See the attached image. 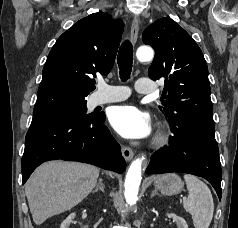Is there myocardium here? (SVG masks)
<instances>
[{
	"label": "myocardium",
	"instance_id": "f54148a6",
	"mask_svg": "<svg viewBox=\"0 0 238 228\" xmlns=\"http://www.w3.org/2000/svg\"><path fill=\"white\" fill-rule=\"evenodd\" d=\"M167 142H168V135L165 132L161 131L156 135L153 141V145L156 147H161L165 145Z\"/></svg>",
	"mask_w": 238,
	"mask_h": 228
}]
</instances>
